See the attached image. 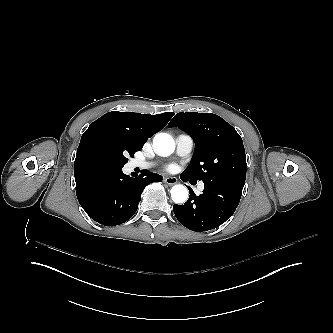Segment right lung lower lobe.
Here are the masks:
<instances>
[{
	"label": "right lung lower lobe",
	"mask_w": 333,
	"mask_h": 333,
	"mask_svg": "<svg viewBox=\"0 0 333 333\" xmlns=\"http://www.w3.org/2000/svg\"><path fill=\"white\" fill-rule=\"evenodd\" d=\"M76 195L85 212L96 222L115 226L130 219L138 208L146 185L162 176L143 171L138 177L123 174L90 157L75 159Z\"/></svg>",
	"instance_id": "1"
}]
</instances>
